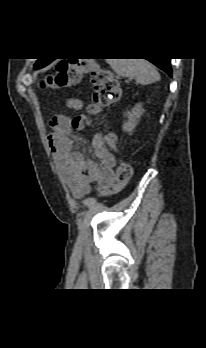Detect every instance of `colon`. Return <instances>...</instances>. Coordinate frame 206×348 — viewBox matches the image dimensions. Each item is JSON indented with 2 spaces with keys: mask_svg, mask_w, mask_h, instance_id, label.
I'll return each instance as SVG.
<instances>
[{
  "mask_svg": "<svg viewBox=\"0 0 206 348\" xmlns=\"http://www.w3.org/2000/svg\"><path fill=\"white\" fill-rule=\"evenodd\" d=\"M85 74L90 75L93 90L92 102L88 108L90 114H96L120 99L121 89L116 76L91 57L61 60L56 65L55 73L41 80V87L63 89L78 83ZM85 119V115H76L72 119V126L76 129L82 128ZM106 142L113 150L117 151V136L114 133L106 135ZM131 175V166L120 160L115 168V183L101 186L100 194L113 195L118 193L128 184Z\"/></svg>",
  "mask_w": 206,
  "mask_h": 348,
  "instance_id": "obj_1",
  "label": "colon"
}]
</instances>
